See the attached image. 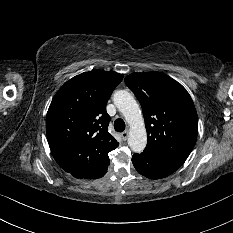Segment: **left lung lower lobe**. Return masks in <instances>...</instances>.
<instances>
[{"instance_id":"0a47b994","label":"left lung lower lobe","mask_w":233,"mask_h":233,"mask_svg":"<svg viewBox=\"0 0 233 233\" xmlns=\"http://www.w3.org/2000/svg\"><path fill=\"white\" fill-rule=\"evenodd\" d=\"M132 162L135 169L150 179H161L175 172L183 163L149 152L134 154Z\"/></svg>"}]
</instances>
